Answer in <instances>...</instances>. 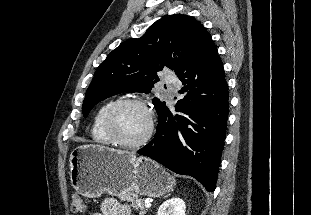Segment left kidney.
<instances>
[{
    "mask_svg": "<svg viewBox=\"0 0 311 215\" xmlns=\"http://www.w3.org/2000/svg\"><path fill=\"white\" fill-rule=\"evenodd\" d=\"M185 209V202L181 198H171L159 207L157 215H185Z\"/></svg>",
    "mask_w": 311,
    "mask_h": 215,
    "instance_id": "5707ae66",
    "label": "left kidney"
}]
</instances>
